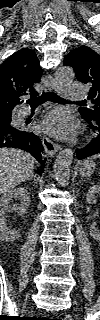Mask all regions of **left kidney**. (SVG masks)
<instances>
[{"instance_id": "obj_1", "label": "left kidney", "mask_w": 100, "mask_h": 320, "mask_svg": "<svg viewBox=\"0 0 100 320\" xmlns=\"http://www.w3.org/2000/svg\"><path fill=\"white\" fill-rule=\"evenodd\" d=\"M99 196H100V187L98 185H94L90 187V189L88 190L86 194V201L88 204L95 203L99 198ZM90 235L97 240L100 238V231L95 224H92L90 227Z\"/></svg>"}]
</instances>
